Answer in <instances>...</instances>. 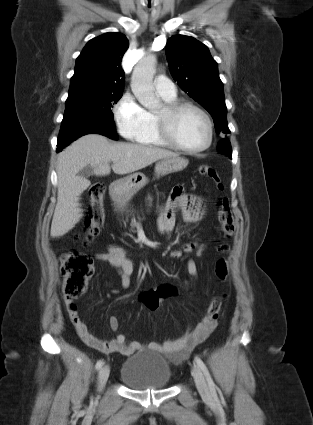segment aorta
I'll return each instance as SVG.
<instances>
[{
    "instance_id": "762f6f07",
    "label": "aorta",
    "mask_w": 313,
    "mask_h": 425,
    "mask_svg": "<svg viewBox=\"0 0 313 425\" xmlns=\"http://www.w3.org/2000/svg\"><path fill=\"white\" fill-rule=\"evenodd\" d=\"M156 62L155 55L148 54L138 62L132 74V92L139 103L148 110H154L159 105V100L155 97V88L153 85Z\"/></svg>"
}]
</instances>
